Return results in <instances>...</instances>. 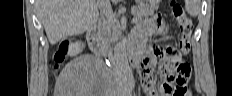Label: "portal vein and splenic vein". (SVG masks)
<instances>
[{
    "label": "portal vein and splenic vein",
    "mask_w": 232,
    "mask_h": 96,
    "mask_svg": "<svg viewBox=\"0 0 232 96\" xmlns=\"http://www.w3.org/2000/svg\"><path fill=\"white\" fill-rule=\"evenodd\" d=\"M100 2L103 7H105L106 9H109V5H110L109 0H100ZM110 17H113V15L111 14ZM136 22H137V18L134 17L132 19V23H136Z\"/></svg>",
    "instance_id": "obj_1"
}]
</instances>
